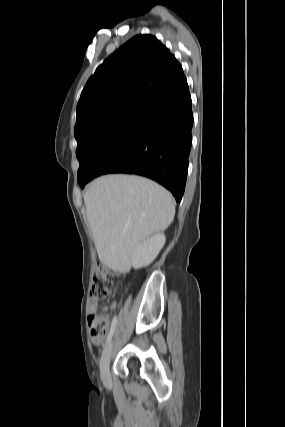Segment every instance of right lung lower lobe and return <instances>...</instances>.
<instances>
[{
  "mask_svg": "<svg viewBox=\"0 0 285 427\" xmlns=\"http://www.w3.org/2000/svg\"><path fill=\"white\" fill-rule=\"evenodd\" d=\"M191 105L185 76L157 92L80 186L102 174H137L157 181L180 202L192 144Z\"/></svg>",
  "mask_w": 285,
  "mask_h": 427,
  "instance_id": "right-lung-lower-lobe-1",
  "label": "right lung lower lobe"
}]
</instances>
